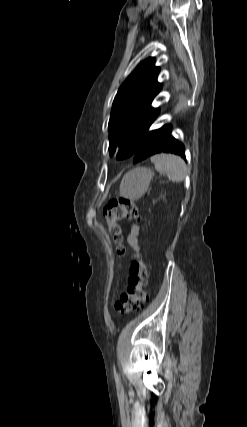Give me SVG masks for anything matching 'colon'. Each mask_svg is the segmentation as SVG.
Listing matches in <instances>:
<instances>
[{"label":"colon","instance_id":"obj_1","mask_svg":"<svg viewBox=\"0 0 247 427\" xmlns=\"http://www.w3.org/2000/svg\"><path fill=\"white\" fill-rule=\"evenodd\" d=\"M107 231L119 255L124 254L123 231L120 225L122 220L140 219V212L136 204L127 198L111 200L103 210ZM147 266L142 255L134 257L129 267L128 286L125 293L115 302V311L118 314H126L139 311L147 300L145 290L147 284Z\"/></svg>","mask_w":247,"mask_h":427}]
</instances>
